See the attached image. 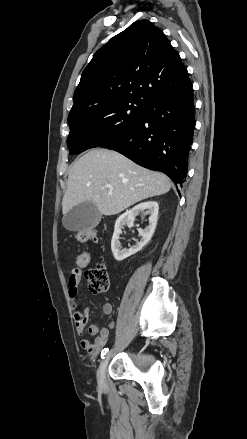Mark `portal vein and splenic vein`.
I'll return each mask as SVG.
<instances>
[{
    "instance_id": "18ae733b",
    "label": "portal vein and splenic vein",
    "mask_w": 247,
    "mask_h": 439,
    "mask_svg": "<svg viewBox=\"0 0 247 439\" xmlns=\"http://www.w3.org/2000/svg\"><path fill=\"white\" fill-rule=\"evenodd\" d=\"M105 187H107V188L110 189V190H112V188H113L112 185H110V184H108V183L105 184Z\"/></svg>"
}]
</instances>
